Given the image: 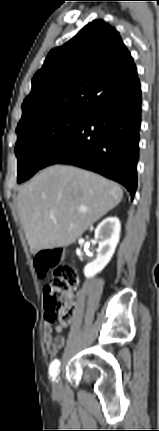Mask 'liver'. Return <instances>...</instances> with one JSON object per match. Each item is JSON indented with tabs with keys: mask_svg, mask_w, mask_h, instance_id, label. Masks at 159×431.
Here are the masks:
<instances>
[{
	"mask_svg": "<svg viewBox=\"0 0 159 431\" xmlns=\"http://www.w3.org/2000/svg\"><path fill=\"white\" fill-rule=\"evenodd\" d=\"M122 198L117 183L95 173L65 165L44 169L18 194L20 221L31 250L73 244Z\"/></svg>",
	"mask_w": 159,
	"mask_h": 431,
	"instance_id": "6515ba94",
	"label": "liver"
}]
</instances>
